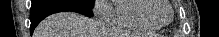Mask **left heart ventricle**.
<instances>
[{
    "instance_id": "obj_1",
    "label": "left heart ventricle",
    "mask_w": 219,
    "mask_h": 37,
    "mask_svg": "<svg viewBox=\"0 0 219 37\" xmlns=\"http://www.w3.org/2000/svg\"><path fill=\"white\" fill-rule=\"evenodd\" d=\"M152 17L159 22H166L171 17V11L166 2H161L160 6L154 11Z\"/></svg>"
}]
</instances>
